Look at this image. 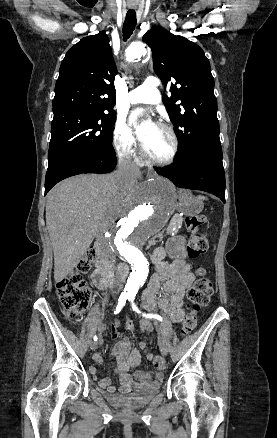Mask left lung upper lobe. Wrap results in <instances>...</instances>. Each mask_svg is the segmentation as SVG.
I'll return each mask as SVG.
<instances>
[{
  "label": "left lung upper lobe",
  "instance_id": "5c2ea615",
  "mask_svg": "<svg viewBox=\"0 0 277 438\" xmlns=\"http://www.w3.org/2000/svg\"><path fill=\"white\" fill-rule=\"evenodd\" d=\"M142 39L152 49L154 70L164 87L175 81L171 96L164 95L163 102L178 134V161L191 159L209 144H221L214 78L201 47L161 27L149 30Z\"/></svg>",
  "mask_w": 277,
  "mask_h": 438
}]
</instances>
